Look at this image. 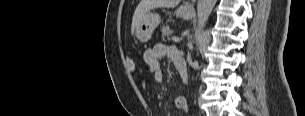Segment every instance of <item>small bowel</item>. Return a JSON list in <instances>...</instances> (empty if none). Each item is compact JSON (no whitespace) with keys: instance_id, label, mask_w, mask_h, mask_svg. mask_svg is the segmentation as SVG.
<instances>
[{"instance_id":"obj_1","label":"small bowel","mask_w":305,"mask_h":116,"mask_svg":"<svg viewBox=\"0 0 305 116\" xmlns=\"http://www.w3.org/2000/svg\"><path fill=\"white\" fill-rule=\"evenodd\" d=\"M180 56L181 54L175 47L168 46L163 43H158L152 48L145 51L144 60L149 72L153 76L154 81L161 82L164 78L161 60L164 57H169L173 62H175V60ZM140 84L142 89L146 88V83L144 80H141ZM175 105L181 110H188L187 102L182 96H178L175 98Z\"/></svg>"}]
</instances>
